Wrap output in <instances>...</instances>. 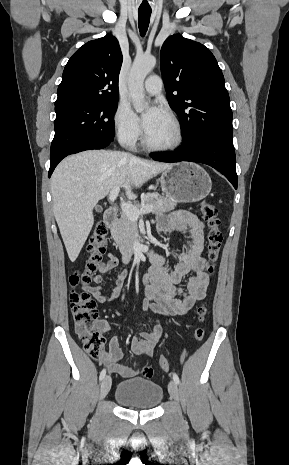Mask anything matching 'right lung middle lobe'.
Masks as SVG:
<instances>
[{
  "label": "right lung middle lobe",
  "instance_id": "1",
  "mask_svg": "<svg viewBox=\"0 0 289 465\" xmlns=\"http://www.w3.org/2000/svg\"><path fill=\"white\" fill-rule=\"evenodd\" d=\"M117 106L118 99L72 102L55 106V136L51 144L50 160L85 141H113V116Z\"/></svg>",
  "mask_w": 289,
  "mask_h": 465
}]
</instances>
